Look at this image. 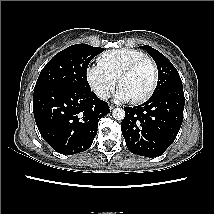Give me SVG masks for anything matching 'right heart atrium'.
<instances>
[{
    "mask_svg": "<svg viewBox=\"0 0 214 214\" xmlns=\"http://www.w3.org/2000/svg\"><path fill=\"white\" fill-rule=\"evenodd\" d=\"M86 80L92 91L100 99H106L117 82L116 78L98 63L87 67Z\"/></svg>",
    "mask_w": 214,
    "mask_h": 214,
    "instance_id": "d8ad5b80",
    "label": "right heart atrium"
}]
</instances>
